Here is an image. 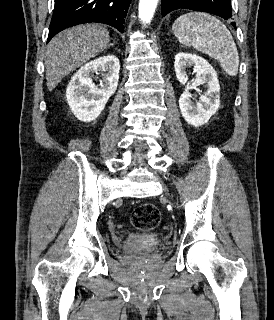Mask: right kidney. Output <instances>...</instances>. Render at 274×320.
I'll return each instance as SVG.
<instances>
[{
  "label": "right kidney",
  "mask_w": 274,
  "mask_h": 320,
  "mask_svg": "<svg viewBox=\"0 0 274 320\" xmlns=\"http://www.w3.org/2000/svg\"><path fill=\"white\" fill-rule=\"evenodd\" d=\"M120 62L113 54L100 56L88 64H84L71 78L66 98L77 120L93 122L104 110L110 96L117 90L119 82ZM94 74H102L99 86H95Z\"/></svg>",
  "instance_id": "1"
}]
</instances>
